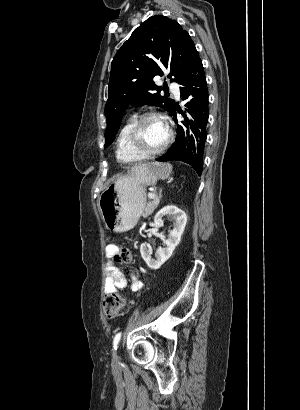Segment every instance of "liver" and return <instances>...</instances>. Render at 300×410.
<instances>
[{
  "label": "liver",
  "instance_id": "obj_1",
  "mask_svg": "<svg viewBox=\"0 0 300 410\" xmlns=\"http://www.w3.org/2000/svg\"><path fill=\"white\" fill-rule=\"evenodd\" d=\"M141 166H142V165H141ZM137 167H139V166H136V167H134V168H137ZM134 168H133V169H134Z\"/></svg>",
  "mask_w": 300,
  "mask_h": 410
}]
</instances>
